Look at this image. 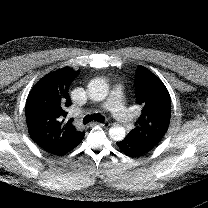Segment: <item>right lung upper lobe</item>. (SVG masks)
<instances>
[{"label": "right lung upper lobe", "instance_id": "1", "mask_svg": "<svg viewBox=\"0 0 208 208\" xmlns=\"http://www.w3.org/2000/svg\"><path fill=\"white\" fill-rule=\"evenodd\" d=\"M79 74L70 67L51 72L40 79L30 91L25 111L28 132L45 151L69 143L83 135L67 119L71 105L69 87Z\"/></svg>", "mask_w": 208, "mask_h": 208}]
</instances>
